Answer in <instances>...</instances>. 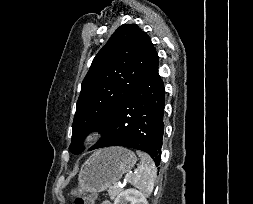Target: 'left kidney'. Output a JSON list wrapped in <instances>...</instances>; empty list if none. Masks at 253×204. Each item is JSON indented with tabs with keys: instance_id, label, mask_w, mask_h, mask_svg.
<instances>
[{
	"instance_id": "obj_1",
	"label": "left kidney",
	"mask_w": 253,
	"mask_h": 204,
	"mask_svg": "<svg viewBox=\"0 0 253 204\" xmlns=\"http://www.w3.org/2000/svg\"><path fill=\"white\" fill-rule=\"evenodd\" d=\"M148 204L147 199L141 191L126 189L115 199L114 204Z\"/></svg>"
}]
</instances>
